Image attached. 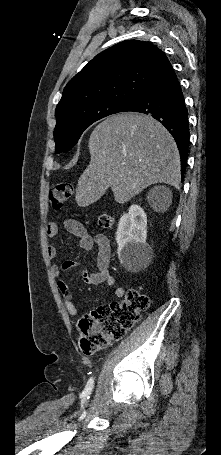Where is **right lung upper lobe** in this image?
<instances>
[{"label": "right lung upper lobe", "instance_id": "1", "mask_svg": "<svg viewBox=\"0 0 221 455\" xmlns=\"http://www.w3.org/2000/svg\"><path fill=\"white\" fill-rule=\"evenodd\" d=\"M167 61L166 55L148 42L126 40L108 48L65 86L56 119L103 101L131 104Z\"/></svg>", "mask_w": 221, "mask_h": 455}]
</instances>
